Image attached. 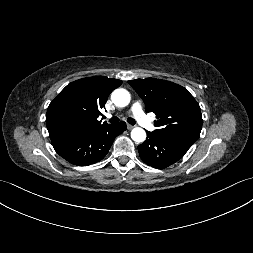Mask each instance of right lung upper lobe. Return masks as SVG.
<instances>
[{
	"instance_id": "right-lung-upper-lobe-1",
	"label": "right lung upper lobe",
	"mask_w": 253,
	"mask_h": 253,
	"mask_svg": "<svg viewBox=\"0 0 253 253\" xmlns=\"http://www.w3.org/2000/svg\"><path fill=\"white\" fill-rule=\"evenodd\" d=\"M121 80L94 76L68 84L50 103L46 125L53 145L110 126L101 123L109 94Z\"/></svg>"
}]
</instances>
